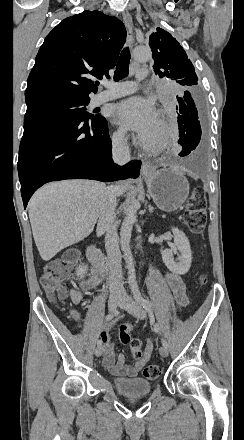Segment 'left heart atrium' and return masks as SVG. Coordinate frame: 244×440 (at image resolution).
Wrapping results in <instances>:
<instances>
[{
  "instance_id": "obj_1",
  "label": "left heart atrium",
  "mask_w": 244,
  "mask_h": 440,
  "mask_svg": "<svg viewBox=\"0 0 244 440\" xmlns=\"http://www.w3.org/2000/svg\"><path fill=\"white\" fill-rule=\"evenodd\" d=\"M114 117L117 123L142 135H147L158 120L154 102L141 97H133L116 105Z\"/></svg>"
}]
</instances>
